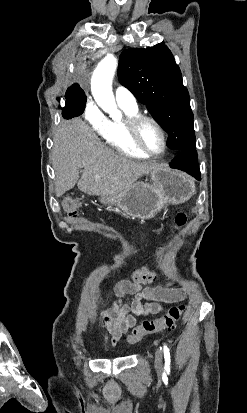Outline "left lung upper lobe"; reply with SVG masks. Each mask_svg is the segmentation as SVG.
<instances>
[{"mask_svg":"<svg viewBox=\"0 0 247 413\" xmlns=\"http://www.w3.org/2000/svg\"><path fill=\"white\" fill-rule=\"evenodd\" d=\"M118 77L169 134L170 149L176 152L196 149L189 93L166 45L159 43L123 51Z\"/></svg>","mask_w":247,"mask_h":413,"instance_id":"5c2ea615","label":"left lung upper lobe"}]
</instances>
